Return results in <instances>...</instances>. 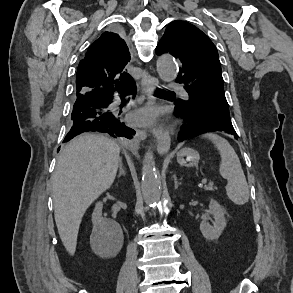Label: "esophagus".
I'll return each mask as SVG.
<instances>
[{
  "mask_svg": "<svg viewBox=\"0 0 293 293\" xmlns=\"http://www.w3.org/2000/svg\"><path fill=\"white\" fill-rule=\"evenodd\" d=\"M158 79L151 76L147 71H143L141 77V89L147 98H151L154 90L158 87ZM157 138V151L159 154H166L170 148V138L162 129L154 131ZM137 137L144 140L147 137L145 130H137Z\"/></svg>",
  "mask_w": 293,
  "mask_h": 293,
  "instance_id": "1",
  "label": "esophagus"
}]
</instances>
